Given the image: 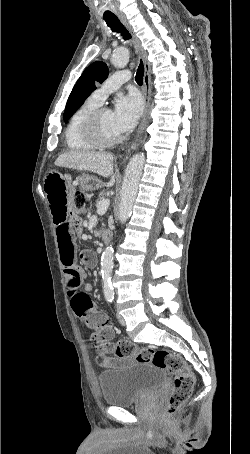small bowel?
<instances>
[{
    "instance_id": "obj_1",
    "label": "small bowel",
    "mask_w": 250,
    "mask_h": 454,
    "mask_svg": "<svg viewBox=\"0 0 250 454\" xmlns=\"http://www.w3.org/2000/svg\"><path fill=\"white\" fill-rule=\"evenodd\" d=\"M73 190L74 184L68 175L53 173L45 180L44 191L56 226L61 263L71 306L76 316L87 324L91 315L103 313L90 300L89 294L93 290V284L85 280V273L78 264L75 252V240L82 232L83 221L75 217L68 219V203ZM79 259L88 266L96 262L95 255L90 250L82 251ZM99 362L105 366L109 360L100 359Z\"/></svg>"
}]
</instances>
